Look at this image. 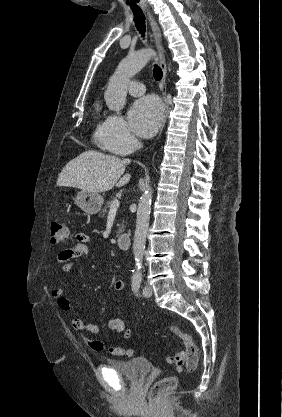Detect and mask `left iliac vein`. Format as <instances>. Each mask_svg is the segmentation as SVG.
<instances>
[{
    "mask_svg": "<svg viewBox=\"0 0 282 417\" xmlns=\"http://www.w3.org/2000/svg\"><path fill=\"white\" fill-rule=\"evenodd\" d=\"M143 296L144 297H147V298L152 296V289H151V287L145 286L143 288Z\"/></svg>",
    "mask_w": 282,
    "mask_h": 417,
    "instance_id": "left-iliac-vein-1",
    "label": "left iliac vein"
}]
</instances>
